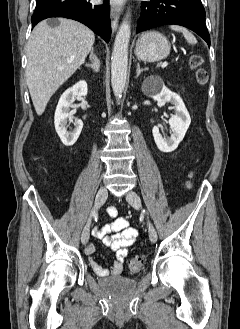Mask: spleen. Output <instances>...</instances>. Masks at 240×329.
<instances>
[{"label": "spleen", "mask_w": 240, "mask_h": 329, "mask_svg": "<svg viewBox=\"0 0 240 329\" xmlns=\"http://www.w3.org/2000/svg\"><path fill=\"white\" fill-rule=\"evenodd\" d=\"M170 28L174 31H177V32H181L184 36V38L186 39V41L189 43V44H196L197 43V40L196 38L194 37V35L192 33H190L187 29H185L184 27H181V26H177V25H171Z\"/></svg>", "instance_id": "spleen-1"}]
</instances>
